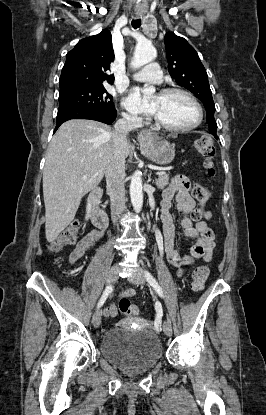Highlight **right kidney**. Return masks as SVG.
<instances>
[{
  "mask_svg": "<svg viewBox=\"0 0 266 415\" xmlns=\"http://www.w3.org/2000/svg\"><path fill=\"white\" fill-rule=\"evenodd\" d=\"M90 209H91V204L89 203L88 204V206H87V215H86V219H88L89 218V214H90Z\"/></svg>",
  "mask_w": 266,
  "mask_h": 415,
  "instance_id": "obj_1",
  "label": "right kidney"
}]
</instances>
